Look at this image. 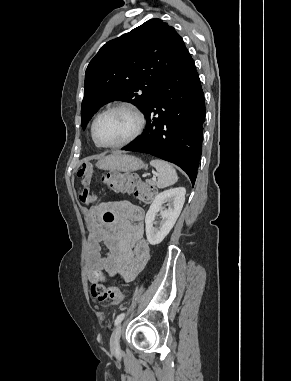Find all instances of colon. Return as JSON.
<instances>
[{
	"label": "colon",
	"instance_id": "obj_1",
	"mask_svg": "<svg viewBox=\"0 0 291 381\" xmlns=\"http://www.w3.org/2000/svg\"><path fill=\"white\" fill-rule=\"evenodd\" d=\"M86 174V167H81L77 171V176L84 178ZM106 184L116 191L130 192L137 200L150 203L156 194L155 188L145 182H142L134 177L128 176L124 173H110L104 178ZM83 199H90L91 195L87 190L81 194ZM114 217L113 214L107 212L103 216L106 223H111ZM92 296L98 301H110L113 304H118L122 300L120 290L115 286H105L101 283H95L91 287Z\"/></svg>",
	"mask_w": 291,
	"mask_h": 381
}]
</instances>
